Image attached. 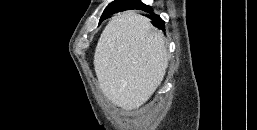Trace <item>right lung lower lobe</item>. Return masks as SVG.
<instances>
[{"instance_id": "obj_1", "label": "right lung lower lobe", "mask_w": 257, "mask_h": 130, "mask_svg": "<svg viewBox=\"0 0 257 130\" xmlns=\"http://www.w3.org/2000/svg\"><path fill=\"white\" fill-rule=\"evenodd\" d=\"M130 1L129 3L125 4L124 6L120 7L118 10L112 12V13H115L117 11H124V10H130V9H139V10H144L146 12H150L152 13V8L150 6H147L145 4H143L141 1H137V0H128ZM111 14V13H110ZM109 14L105 15L103 18L100 19V22L106 18V16H108ZM153 17V19H152ZM152 17L151 19L153 20V25L159 27V28H162L164 29V21L158 16V15H155V14H152Z\"/></svg>"}]
</instances>
